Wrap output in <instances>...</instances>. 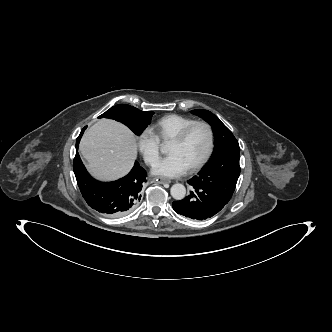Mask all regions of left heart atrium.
Returning <instances> with one entry per match:
<instances>
[{
    "label": "left heart atrium",
    "mask_w": 332,
    "mask_h": 332,
    "mask_svg": "<svg viewBox=\"0 0 332 332\" xmlns=\"http://www.w3.org/2000/svg\"><path fill=\"white\" fill-rule=\"evenodd\" d=\"M188 165L177 154H169L159 160L152 169V173L158 176L174 178L186 173Z\"/></svg>",
    "instance_id": "obj_1"
}]
</instances>
